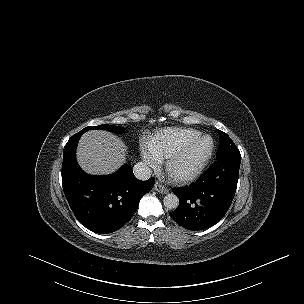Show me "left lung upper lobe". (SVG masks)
<instances>
[{
  "instance_id": "left-lung-upper-lobe-1",
  "label": "left lung upper lobe",
  "mask_w": 304,
  "mask_h": 304,
  "mask_svg": "<svg viewBox=\"0 0 304 304\" xmlns=\"http://www.w3.org/2000/svg\"><path fill=\"white\" fill-rule=\"evenodd\" d=\"M220 146L217 151V160L232 156L240 155V152L231 138L223 131L218 130Z\"/></svg>"
}]
</instances>
